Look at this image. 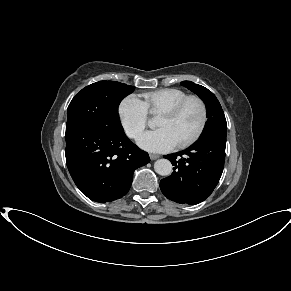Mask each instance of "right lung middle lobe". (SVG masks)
Wrapping results in <instances>:
<instances>
[{
	"label": "right lung middle lobe",
	"mask_w": 291,
	"mask_h": 291,
	"mask_svg": "<svg viewBox=\"0 0 291 291\" xmlns=\"http://www.w3.org/2000/svg\"><path fill=\"white\" fill-rule=\"evenodd\" d=\"M134 88L116 81H99L86 86L70 102L66 124H82L94 130L121 126L118 106Z\"/></svg>",
	"instance_id": "right-lung-middle-lobe-1"
}]
</instances>
